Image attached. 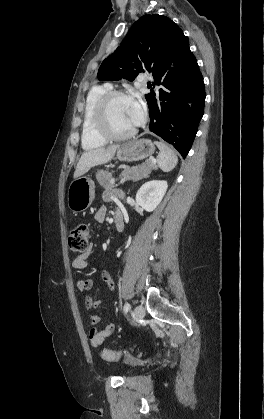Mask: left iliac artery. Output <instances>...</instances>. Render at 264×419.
I'll list each match as a JSON object with an SVG mask.
<instances>
[{"instance_id":"1","label":"left iliac artery","mask_w":264,"mask_h":419,"mask_svg":"<svg viewBox=\"0 0 264 419\" xmlns=\"http://www.w3.org/2000/svg\"><path fill=\"white\" fill-rule=\"evenodd\" d=\"M129 309H130V304L129 303H126L125 305H124V312L125 313H127L128 311H129Z\"/></svg>"}]
</instances>
